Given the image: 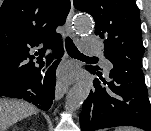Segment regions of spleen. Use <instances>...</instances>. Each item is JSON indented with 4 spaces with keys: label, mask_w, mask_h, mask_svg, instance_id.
Returning <instances> with one entry per match:
<instances>
[{
    "label": "spleen",
    "mask_w": 151,
    "mask_h": 131,
    "mask_svg": "<svg viewBox=\"0 0 151 131\" xmlns=\"http://www.w3.org/2000/svg\"><path fill=\"white\" fill-rule=\"evenodd\" d=\"M115 131H139V130L132 127H119L116 128Z\"/></svg>",
    "instance_id": "spleen-1"
}]
</instances>
